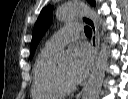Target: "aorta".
Here are the masks:
<instances>
[{"label": "aorta", "instance_id": "aorta-1", "mask_svg": "<svg viewBox=\"0 0 128 99\" xmlns=\"http://www.w3.org/2000/svg\"><path fill=\"white\" fill-rule=\"evenodd\" d=\"M86 11H89L92 15H95L94 10L90 9L85 3L78 0H73L65 3L57 9L56 18L59 21L66 22L80 17ZM96 18L100 20L99 16H96ZM57 60L59 63L70 62L72 60V52L69 50L61 51L58 54ZM107 62L108 44L107 40L104 38V42L101 44V51L97 57L89 80L83 90L82 99H99L107 68Z\"/></svg>", "mask_w": 128, "mask_h": 99}]
</instances>
